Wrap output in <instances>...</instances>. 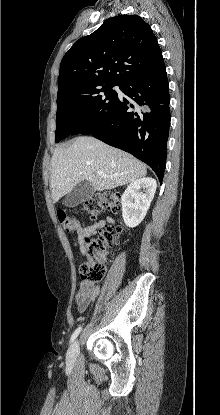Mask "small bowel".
<instances>
[{
	"label": "small bowel",
	"instance_id": "c3829d8e",
	"mask_svg": "<svg viewBox=\"0 0 220 415\" xmlns=\"http://www.w3.org/2000/svg\"><path fill=\"white\" fill-rule=\"evenodd\" d=\"M113 224L112 218L99 220L92 225H81L76 233V242L80 247L82 253H84L83 242L86 237L93 236L97 233L104 231V228ZM99 290L96 286L85 282H80L75 295V303L79 312H84L88 306L96 299Z\"/></svg>",
	"mask_w": 220,
	"mask_h": 415
}]
</instances>
